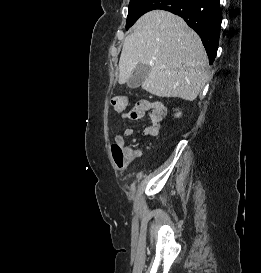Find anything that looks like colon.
Here are the masks:
<instances>
[{
    "label": "colon",
    "mask_w": 261,
    "mask_h": 273,
    "mask_svg": "<svg viewBox=\"0 0 261 273\" xmlns=\"http://www.w3.org/2000/svg\"><path fill=\"white\" fill-rule=\"evenodd\" d=\"M129 105V99L126 96H118L112 100L113 108L120 112L125 110ZM144 114V106L141 102L135 104V106L129 111V118L131 120H137ZM113 160L117 167L124 168L127 165L128 158L127 152L122 145L121 139H116L111 147Z\"/></svg>",
    "instance_id": "5ec220e1"
}]
</instances>
